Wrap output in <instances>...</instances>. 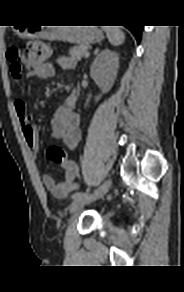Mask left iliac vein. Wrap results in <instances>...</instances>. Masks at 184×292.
<instances>
[{
    "label": "left iliac vein",
    "mask_w": 184,
    "mask_h": 292,
    "mask_svg": "<svg viewBox=\"0 0 184 292\" xmlns=\"http://www.w3.org/2000/svg\"><path fill=\"white\" fill-rule=\"evenodd\" d=\"M111 184H112L111 179H108L106 182L103 183V185L100 188H98L94 192L88 194L87 196L80 200L73 201L70 205L71 213H75L81 208H83L85 205L104 197L109 191Z\"/></svg>",
    "instance_id": "left-iliac-vein-1"
}]
</instances>
